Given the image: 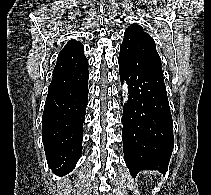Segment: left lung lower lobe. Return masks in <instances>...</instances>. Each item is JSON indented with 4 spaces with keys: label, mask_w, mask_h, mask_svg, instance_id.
Masks as SVG:
<instances>
[{
    "label": "left lung lower lobe",
    "mask_w": 211,
    "mask_h": 195,
    "mask_svg": "<svg viewBox=\"0 0 211 195\" xmlns=\"http://www.w3.org/2000/svg\"><path fill=\"white\" fill-rule=\"evenodd\" d=\"M121 83L128 84L123 108V152L133 177L145 169L165 173L173 151V122L164 80L119 55Z\"/></svg>",
    "instance_id": "left-lung-lower-lobe-1"
}]
</instances>
